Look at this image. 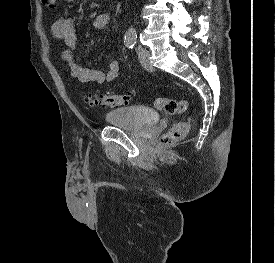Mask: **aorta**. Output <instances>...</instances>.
I'll return each instance as SVG.
<instances>
[{
	"label": "aorta",
	"instance_id": "aorta-1",
	"mask_svg": "<svg viewBox=\"0 0 275 263\" xmlns=\"http://www.w3.org/2000/svg\"><path fill=\"white\" fill-rule=\"evenodd\" d=\"M127 34H128L129 36H131V37L134 36V32H133V31H129Z\"/></svg>",
	"mask_w": 275,
	"mask_h": 263
}]
</instances>
